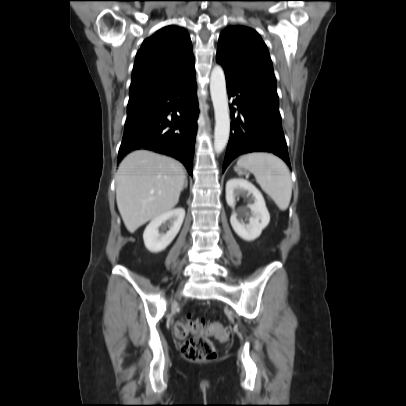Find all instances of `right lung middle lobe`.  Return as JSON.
<instances>
[{
	"label": "right lung middle lobe",
	"mask_w": 406,
	"mask_h": 406,
	"mask_svg": "<svg viewBox=\"0 0 406 406\" xmlns=\"http://www.w3.org/2000/svg\"><path fill=\"white\" fill-rule=\"evenodd\" d=\"M146 114L147 113H146L142 103L128 106L127 119L125 122V126H129V125L137 123L142 118H144L146 116Z\"/></svg>",
	"instance_id": "obj_1"
}]
</instances>
